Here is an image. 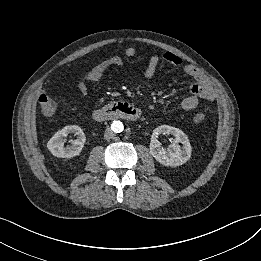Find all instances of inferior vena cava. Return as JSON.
<instances>
[{
  "mask_svg": "<svg viewBox=\"0 0 261 261\" xmlns=\"http://www.w3.org/2000/svg\"><path fill=\"white\" fill-rule=\"evenodd\" d=\"M114 136H115V135H114L113 131H112L110 128H107L106 131H105V133H104V138H105L106 140H109V139H113Z\"/></svg>",
  "mask_w": 261,
  "mask_h": 261,
  "instance_id": "inferior-vena-cava-1",
  "label": "inferior vena cava"
}]
</instances>
